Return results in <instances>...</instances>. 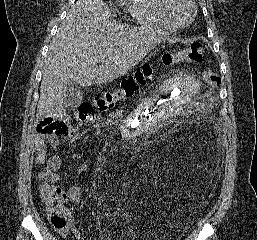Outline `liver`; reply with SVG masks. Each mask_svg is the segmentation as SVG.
<instances>
[{
  "label": "liver",
  "mask_w": 257,
  "mask_h": 240,
  "mask_svg": "<svg viewBox=\"0 0 257 240\" xmlns=\"http://www.w3.org/2000/svg\"><path fill=\"white\" fill-rule=\"evenodd\" d=\"M110 14L102 0H79L72 5L49 45L39 117L59 115L70 81L82 87L106 84L125 75L165 41L161 35L113 23Z\"/></svg>",
  "instance_id": "obj_1"
}]
</instances>
